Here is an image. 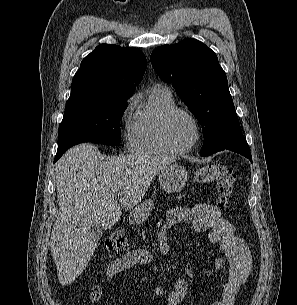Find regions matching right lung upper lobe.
<instances>
[{
  "label": "right lung upper lobe",
  "instance_id": "1",
  "mask_svg": "<svg viewBox=\"0 0 297 305\" xmlns=\"http://www.w3.org/2000/svg\"><path fill=\"white\" fill-rule=\"evenodd\" d=\"M146 67V57L139 49L101 44L82 60L66 104L131 96Z\"/></svg>",
  "mask_w": 297,
  "mask_h": 305
}]
</instances>
